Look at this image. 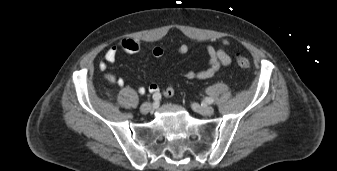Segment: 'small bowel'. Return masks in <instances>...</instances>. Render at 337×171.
I'll use <instances>...</instances> for the list:
<instances>
[{
    "instance_id": "small-bowel-1",
    "label": "small bowel",
    "mask_w": 337,
    "mask_h": 171,
    "mask_svg": "<svg viewBox=\"0 0 337 171\" xmlns=\"http://www.w3.org/2000/svg\"><path fill=\"white\" fill-rule=\"evenodd\" d=\"M229 46L228 41H223L219 48L214 46H207L205 51L209 57L207 66L199 71H185L183 72V77L189 80H206L214 77L220 72V69L224 66H228L231 64V57L226 51V47ZM140 50V43L135 39H123L117 45L111 46L107 49L104 55V60L99 62V68L104 72L103 78L107 80L111 84H115L121 88L125 87L126 82L123 78L116 77L113 73L107 72L108 64H112L116 61L118 53L120 51L125 53H137ZM189 48L186 44H180L178 46V53L184 55L188 52ZM164 50L162 47H154L152 50V54L154 57L159 58L163 55ZM148 90L151 93H159L160 86L157 82L152 81ZM146 91L145 87H138V92L140 94H144ZM165 96H171L173 94V87L170 84L164 91Z\"/></svg>"
}]
</instances>
